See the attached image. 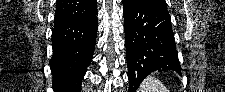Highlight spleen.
<instances>
[{
  "instance_id": "1",
  "label": "spleen",
  "mask_w": 225,
  "mask_h": 92,
  "mask_svg": "<svg viewBox=\"0 0 225 92\" xmlns=\"http://www.w3.org/2000/svg\"><path fill=\"white\" fill-rule=\"evenodd\" d=\"M137 92H169L157 78L148 76L140 85Z\"/></svg>"
}]
</instances>
